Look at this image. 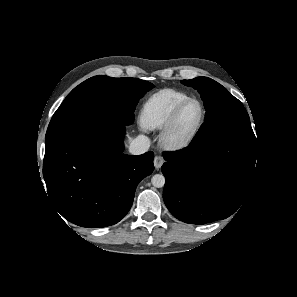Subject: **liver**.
<instances>
[{
	"label": "liver",
	"instance_id": "1",
	"mask_svg": "<svg viewBox=\"0 0 297 297\" xmlns=\"http://www.w3.org/2000/svg\"><path fill=\"white\" fill-rule=\"evenodd\" d=\"M128 140H129V141H131V140H132V138H131V137H128Z\"/></svg>",
	"mask_w": 297,
	"mask_h": 297
}]
</instances>
